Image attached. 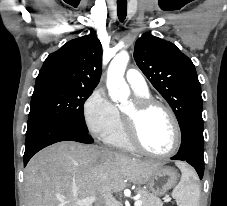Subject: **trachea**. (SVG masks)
I'll list each match as a JSON object with an SVG mask.
<instances>
[{"instance_id":"obj_1","label":"trachea","mask_w":227,"mask_h":206,"mask_svg":"<svg viewBox=\"0 0 227 206\" xmlns=\"http://www.w3.org/2000/svg\"><path fill=\"white\" fill-rule=\"evenodd\" d=\"M117 14L121 22H123L127 15V2L126 0L117 1Z\"/></svg>"}]
</instances>
